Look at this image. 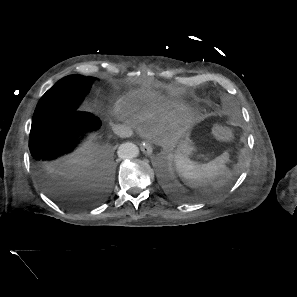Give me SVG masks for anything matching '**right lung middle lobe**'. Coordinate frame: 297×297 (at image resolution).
I'll use <instances>...</instances> for the list:
<instances>
[{"label": "right lung middle lobe", "instance_id": "obj_1", "mask_svg": "<svg viewBox=\"0 0 297 297\" xmlns=\"http://www.w3.org/2000/svg\"><path fill=\"white\" fill-rule=\"evenodd\" d=\"M94 80L93 77L80 75H70L59 80L38 102L32 122L45 119L59 107L72 103L80 105Z\"/></svg>", "mask_w": 297, "mask_h": 297}]
</instances>
